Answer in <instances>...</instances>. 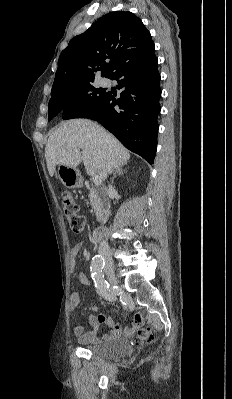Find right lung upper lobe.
Here are the masks:
<instances>
[{"mask_svg": "<svg viewBox=\"0 0 232 399\" xmlns=\"http://www.w3.org/2000/svg\"><path fill=\"white\" fill-rule=\"evenodd\" d=\"M154 48L150 32L136 15L110 12L72 38L62 51L51 95L93 82L98 71L110 78L122 67L153 53ZM106 59L110 62L106 63Z\"/></svg>", "mask_w": 232, "mask_h": 399, "instance_id": "obj_1", "label": "right lung upper lobe"}]
</instances>
